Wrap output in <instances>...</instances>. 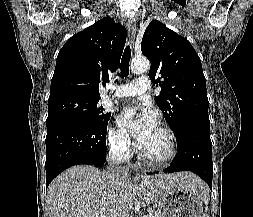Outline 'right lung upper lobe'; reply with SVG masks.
<instances>
[{"instance_id": "right-lung-upper-lobe-1", "label": "right lung upper lobe", "mask_w": 253, "mask_h": 217, "mask_svg": "<svg viewBox=\"0 0 253 217\" xmlns=\"http://www.w3.org/2000/svg\"><path fill=\"white\" fill-rule=\"evenodd\" d=\"M126 28L110 17L95 22L71 37L60 50L51 80L48 102L68 97L100 98V81L119 64Z\"/></svg>"}]
</instances>
